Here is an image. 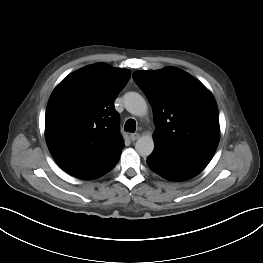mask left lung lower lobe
<instances>
[{
	"mask_svg": "<svg viewBox=\"0 0 263 263\" xmlns=\"http://www.w3.org/2000/svg\"><path fill=\"white\" fill-rule=\"evenodd\" d=\"M215 151L172 146L155 142L152 154L147 158L149 168L171 181H183L199 174L209 163Z\"/></svg>",
	"mask_w": 263,
	"mask_h": 263,
	"instance_id": "obj_1",
	"label": "left lung lower lobe"
}]
</instances>
